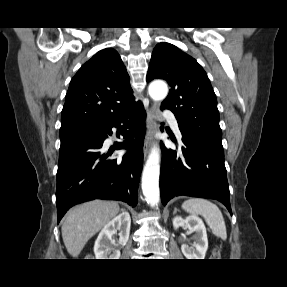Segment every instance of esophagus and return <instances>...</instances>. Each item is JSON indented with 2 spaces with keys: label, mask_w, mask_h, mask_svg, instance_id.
Here are the masks:
<instances>
[{
  "label": "esophagus",
  "mask_w": 287,
  "mask_h": 287,
  "mask_svg": "<svg viewBox=\"0 0 287 287\" xmlns=\"http://www.w3.org/2000/svg\"><path fill=\"white\" fill-rule=\"evenodd\" d=\"M159 116V108L156 103H154L147 112L146 117V127L147 132L144 140V146H143V152H144V158L147 157V154L149 152L150 146L154 139V134L156 131V119Z\"/></svg>",
  "instance_id": "1"
}]
</instances>
